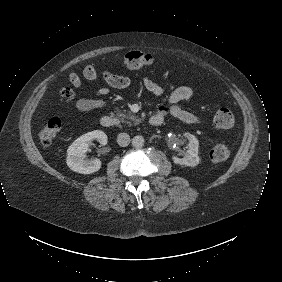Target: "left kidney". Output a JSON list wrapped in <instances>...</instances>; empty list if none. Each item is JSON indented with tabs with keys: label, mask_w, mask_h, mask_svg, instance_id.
Wrapping results in <instances>:
<instances>
[{
	"label": "left kidney",
	"mask_w": 282,
	"mask_h": 282,
	"mask_svg": "<svg viewBox=\"0 0 282 282\" xmlns=\"http://www.w3.org/2000/svg\"><path fill=\"white\" fill-rule=\"evenodd\" d=\"M184 137L188 140V149L185 152V157L181 159L173 155L171 157V161L174 165H178L180 167L194 168L200 163L198 151L199 142L197 138L190 133H185Z\"/></svg>",
	"instance_id": "left-kidney-1"
}]
</instances>
